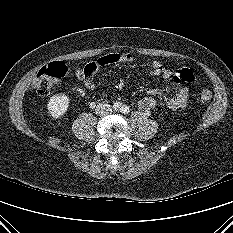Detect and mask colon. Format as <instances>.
I'll list each match as a JSON object with an SVG mask.
<instances>
[{
  "label": "colon",
  "instance_id": "obj_1",
  "mask_svg": "<svg viewBox=\"0 0 233 233\" xmlns=\"http://www.w3.org/2000/svg\"><path fill=\"white\" fill-rule=\"evenodd\" d=\"M96 67L94 63H88L83 68L76 71V76L79 78H85L94 73ZM68 69L62 62H53L47 66L42 67L37 73L33 81V87L36 92L41 96L49 95L55 86L61 81L67 74ZM184 79L187 82H193L195 77L192 72H186ZM212 98L210 91L203 90L200 94V100L202 102H209Z\"/></svg>",
  "mask_w": 233,
  "mask_h": 233
}]
</instances>
